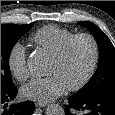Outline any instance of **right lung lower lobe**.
Here are the masks:
<instances>
[{
    "instance_id": "98d812e1",
    "label": "right lung lower lobe",
    "mask_w": 115,
    "mask_h": 115,
    "mask_svg": "<svg viewBox=\"0 0 115 115\" xmlns=\"http://www.w3.org/2000/svg\"><path fill=\"white\" fill-rule=\"evenodd\" d=\"M17 92L15 86L1 90V115H30L34 111L35 105L32 101L12 104L7 108V102L13 100Z\"/></svg>"
}]
</instances>
